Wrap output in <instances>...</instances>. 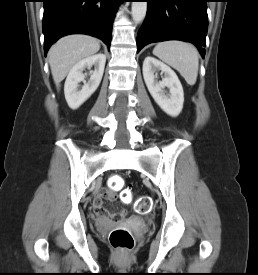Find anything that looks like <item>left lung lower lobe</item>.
I'll return each mask as SVG.
<instances>
[{"instance_id": "left-lung-lower-lobe-1", "label": "left lung lower lobe", "mask_w": 258, "mask_h": 275, "mask_svg": "<svg viewBox=\"0 0 258 275\" xmlns=\"http://www.w3.org/2000/svg\"><path fill=\"white\" fill-rule=\"evenodd\" d=\"M148 9L137 35V52L152 42L182 40L205 55L207 0H146Z\"/></svg>"}]
</instances>
